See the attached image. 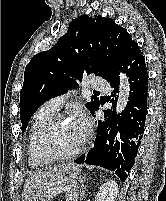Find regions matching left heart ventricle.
Listing matches in <instances>:
<instances>
[{
  "label": "left heart ventricle",
  "instance_id": "1",
  "mask_svg": "<svg viewBox=\"0 0 166 201\" xmlns=\"http://www.w3.org/2000/svg\"><path fill=\"white\" fill-rule=\"evenodd\" d=\"M82 144L79 133L69 121H62L51 131L48 145L58 153H69Z\"/></svg>",
  "mask_w": 166,
  "mask_h": 201
}]
</instances>
